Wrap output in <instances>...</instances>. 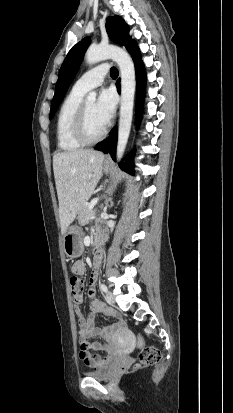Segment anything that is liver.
Masks as SVG:
<instances>
[{
  "mask_svg": "<svg viewBox=\"0 0 233 413\" xmlns=\"http://www.w3.org/2000/svg\"><path fill=\"white\" fill-rule=\"evenodd\" d=\"M103 160L101 152L90 149L59 152L53 156L62 232L68 229L93 194L102 176Z\"/></svg>",
  "mask_w": 233,
  "mask_h": 413,
  "instance_id": "obj_1",
  "label": "liver"
}]
</instances>
